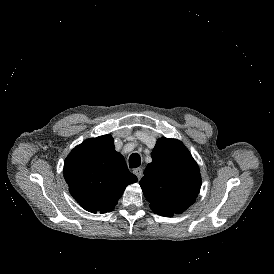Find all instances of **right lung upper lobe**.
I'll return each instance as SVG.
<instances>
[{"label":"right lung upper lobe","instance_id":"obj_1","mask_svg":"<svg viewBox=\"0 0 274 274\" xmlns=\"http://www.w3.org/2000/svg\"><path fill=\"white\" fill-rule=\"evenodd\" d=\"M64 178L72 197L91 213L112 211L125 188L137 182L109 134L76 146L65 160Z\"/></svg>","mask_w":274,"mask_h":274}]
</instances>
